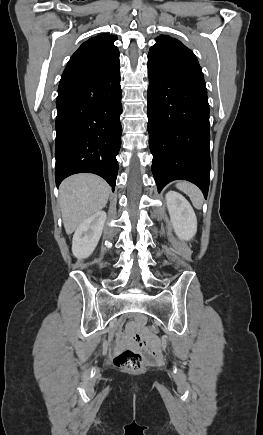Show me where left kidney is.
I'll return each mask as SVG.
<instances>
[{"instance_id": "left-kidney-1", "label": "left kidney", "mask_w": 263, "mask_h": 435, "mask_svg": "<svg viewBox=\"0 0 263 435\" xmlns=\"http://www.w3.org/2000/svg\"><path fill=\"white\" fill-rule=\"evenodd\" d=\"M166 204L176 235L189 241L197 232V219L190 203L178 192L168 191Z\"/></svg>"}]
</instances>
